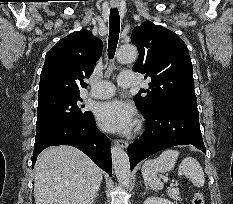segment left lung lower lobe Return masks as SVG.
<instances>
[{"label":"left lung lower lobe","instance_id":"0a47b994","mask_svg":"<svg viewBox=\"0 0 233 204\" xmlns=\"http://www.w3.org/2000/svg\"><path fill=\"white\" fill-rule=\"evenodd\" d=\"M146 129L128 147L131 170L150 155L176 145H193L206 153L199 126L198 110L160 107L144 114Z\"/></svg>","mask_w":233,"mask_h":204}]
</instances>
